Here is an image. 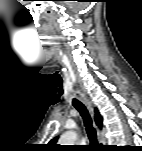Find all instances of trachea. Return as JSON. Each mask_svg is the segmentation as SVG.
I'll return each instance as SVG.
<instances>
[{
    "instance_id": "obj_1",
    "label": "trachea",
    "mask_w": 142,
    "mask_h": 151,
    "mask_svg": "<svg viewBox=\"0 0 142 151\" xmlns=\"http://www.w3.org/2000/svg\"><path fill=\"white\" fill-rule=\"evenodd\" d=\"M72 104L78 110V112L83 118L84 125L86 127V131H87L90 142L92 144H97L96 131L94 127L92 126V119L87 108L82 102H80L79 100L75 98L72 100Z\"/></svg>"
}]
</instances>
